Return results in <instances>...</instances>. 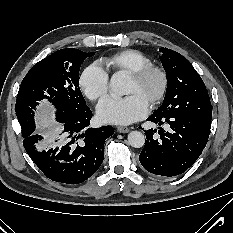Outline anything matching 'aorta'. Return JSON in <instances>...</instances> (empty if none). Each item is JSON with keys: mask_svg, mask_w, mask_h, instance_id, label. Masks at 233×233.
Listing matches in <instances>:
<instances>
[{"mask_svg": "<svg viewBox=\"0 0 233 233\" xmlns=\"http://www.w3.org/2000/svg\"><path fill=\"white\" fill-rule=\"evenodd\" d=\"M128 77L122 73H114L110 79V90L114 95L123 96L127 94ZM128 143L134 148H141L145 144V136L142 132L132 131L128 134Z\"/></svg>", "mask_w": 233, "mask_h": 233, "instance_id": "762f6f07", "label": "aorta"}]
</instances>
